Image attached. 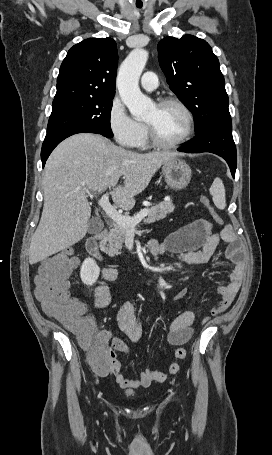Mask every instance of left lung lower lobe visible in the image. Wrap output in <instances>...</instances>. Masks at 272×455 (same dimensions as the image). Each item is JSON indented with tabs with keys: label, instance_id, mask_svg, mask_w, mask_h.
<instances>
[{
	"label": "left lung lower lobe",
	"instance_id": "0a47b994",
	"mask_svg": "<svg viewBox=\"0 0 272 455\" xmlns=\"http://www.w3.org/2000/svg\"><path fill=\"white\" fill-rule=\"evenodd\" d=\"M178 151L186 153L210 152L224 158L235 177L237 166L236 147L232 136V123L214 125L185 143Z\"/></svg>",
	"mask_w": 272,
	"mask_h": 455
}]
</instances>
